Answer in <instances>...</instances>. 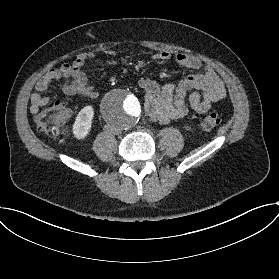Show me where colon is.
<instances>
[{"label": "colon", "instance_id": "obj_1", "mask_svg": "<svg viewBox=\"0 0 279 279\" xmlns=\"http://www.w3.org/2000/svg\"><path fill=\"white\" fill-rule=\"evenodd\" d=\"M73 116V109L67 103L51 105L36 113L34 119L39 131L53 137L64 136L66 134L63 124ZM220 123L218 113H209L202 119L201 129L210 131Z\"/></svg>", "mask_w": 279, "mask_h": 279}]
</instances>
